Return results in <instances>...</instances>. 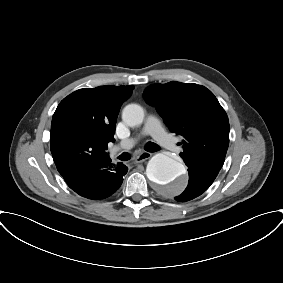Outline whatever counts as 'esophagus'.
Masks as SVG:
<instances>
[{
    "mask_svg": "<svg viewBox=\"0 0 283 283\" xmlns=\"http://www.w3.org/2000/svg\"><path fill=\"white\" fill-rule=\"evenodd\" d=\"M152 156L149 152H141L134 160L135 163H142Z\"/></svg>",
    "mask_w": 283,
    "mask_h": 283,
    "instance_id": "34e87169",
    "label": "esophagus"
}]
</instances>
